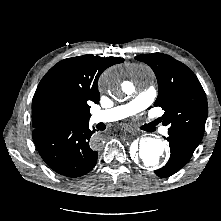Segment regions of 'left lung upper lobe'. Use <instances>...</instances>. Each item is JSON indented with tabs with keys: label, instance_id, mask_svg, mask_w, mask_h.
Here are the masks:
<instances>
[{
	"label": "left lung upper lobe",
	"instance_id": "5c2ea615",
	"mask_svg": "<svg viewBox=\"0 0 221 221\" xmlns=\"http://www.w3.org/2000/svg\"><path fill=\"white\" fill-rule=\"evenodd\" d=\"M136 60L148 64L158 81L155 106L165 113L163 124L168 132L187 134L202 140L208 105L205 92L196 75L183 63L163 53L143 54Z\"/></svg>",
	"mask_w": 221,
	"mask_h": 221
}]
</instances>
